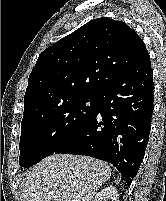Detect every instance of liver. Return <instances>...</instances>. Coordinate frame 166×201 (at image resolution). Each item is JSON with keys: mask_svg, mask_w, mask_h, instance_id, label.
<instances>
[{"mask_svg": "<svg viewBox=\"0 0 166 201\" xmlns=\"http://www.w3.org/2000/svg\"><path fill=\"white\" fill-rule=\"evenodd\" d=\"M110 176V166L100 160L52 155L24 173L22 201H91Z\"/></svg>", "mask_w": 166, "mask_h": 201, "instance_id": "liver-1", "label": "liver"}]
</instances>
